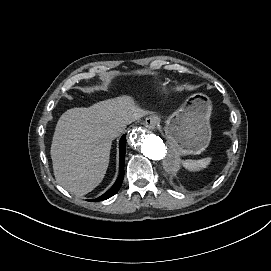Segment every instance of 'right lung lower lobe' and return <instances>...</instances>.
I'll return each instance as SVG.
<instances>
[{
  "label": "right lung lower lobe",
  "mask_w": 271,
  "mask_h": 271,
  "mask_svg": "<svg viewBox=\"0 0 271 271\" xmlns=\"http://www.w3.org/2000/svg\"><path fill=\"white\" fill-rule=\"evenodd\" d=\"M119 149H120V174H119L118 179L116 180L114 185L107 192H105L102 196H100L96 199H93V200H88V201L95 202V201L106 200V199L112 197L113 195H115L118 192V190L120 189V187L122 185L123 178H124V160H125V149H126V136L125 135H123L121 137Z\"/></svg>",
  "instance_id": "right-lung-lower-lobe-1"
}]
</instances>
